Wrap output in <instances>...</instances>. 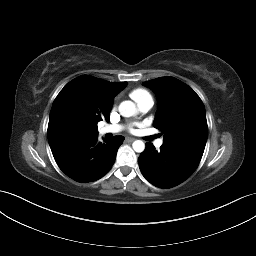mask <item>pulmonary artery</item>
Returning <instances> with one entry per match:
<instances>
[{
    "mask_svg": "<svg viewBox=\"0 0 256 256\" xmlns=\"http://www.w3.org/2000/svg\"><path fill=\"white\" fill-rule=\"evenodd\" d=\"M153 106L152 101L143 102L138 104V108L142 113L148 112ZM123 129L122 125L119 124H112V125H105L99 129L100 134H107V133H117ZM163 144V139H159L155 142L156 147H160Z\"/></svg>",
    "mask_w": 256,
    "mask_h": 256,
    "instance_id": "1",
    "label": "pulmonary artery"
}]
</instances>
